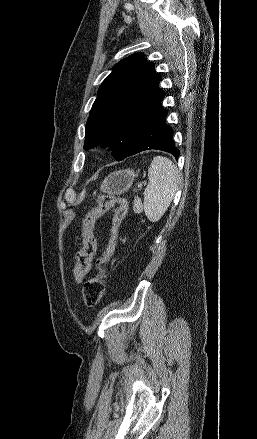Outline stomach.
<instances>
[{
	"mask_svg": "<svg viewBox=\"0 0 257 439\" xmlns=\"http://www.w3.org/2000/svg\"><path fill=\"white\" fill-rule=\"evenodd\" d=\"M135 176L132 169L115 171L103 180L100 190L108 195L124 194L132 186Z\"/></svg>",
	"mask_w": 257,
	"mask_h": 439,
	"instance_id": "obj_1",
	"label": "stomach"
}]
</instances>
